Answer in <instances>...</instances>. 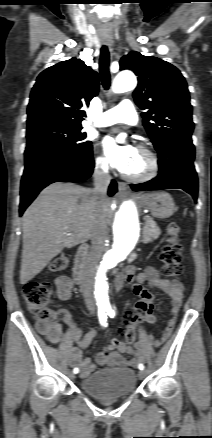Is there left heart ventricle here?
<instances>
[{
	"label": "left heart ventricle",
	"instance_id": "obj_1",
	"mask_svg": "<svg viewBox=\"0 0 212 438\" xmlns=\"http://www.w3.org/2000/svg\"><path fill=\"white\" fill-rule=\"evenodd\" d=\"M148 167H149V161L147 156L137 151L133 161L131 162L130 166L126 170V173L132 175H141L147 171Z\"/></svg>",
	"mask_w": 212,
	"mask_h": 438
}]
</instances>
